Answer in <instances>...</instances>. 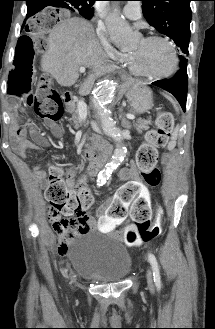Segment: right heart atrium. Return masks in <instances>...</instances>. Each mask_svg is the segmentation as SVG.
<instances>
[{
    "label": "right heart atrium",
    "instance_id": "1",
    "mask_svg": "<svg viewBox=\"0 0 215 329\" xmlns=\"http://www.w3.org/2000/svg\"><path fill=\"white\" fill-rule=\"evenodd\" d=\"M96 33L107 54L115 60H121L123 54L118 49H116V47H114L103 24L98 23Z\"/></svg>",
    "mask_w": 215,
    "mask_h": 329
}]
</instances>
